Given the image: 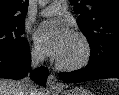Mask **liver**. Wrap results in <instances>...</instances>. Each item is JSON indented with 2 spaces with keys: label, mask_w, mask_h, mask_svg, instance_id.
Masks as SVG:
<instances>
[{
  "label": "liver",
  "mask_w": 119,
  "mask_h": 95,
  "mask_svg": "<svg viewBox=\"0 0 119 95\" xmlns=\"http://www.w3.org/2000/svg\"><path fill=\"white\" fill-rule=\"evenodd\" d=\"M35 95H44L41 88H35ZM0 95H21V81L0 79Z\"/></svg>",
  "instance_id": "1"
}]
</instances>
